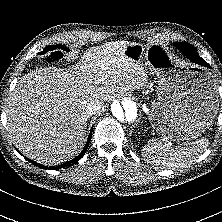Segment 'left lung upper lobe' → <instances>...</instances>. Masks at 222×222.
Listing matches in <instances>:
<instances>
[{"label":"left lung upper lobe","mask_w":222,"mask_h":222,"mask_svg":"<svg viewBox=\"0 0 222 222\" xmlns=\"http://www.w3.org/2000/svg\"><path fill=\"white\" fill-rule=\"evenodd\" d=\"M174 45L176 48L182 51V53L187 56V55H193L196 58L200 59L201 61H204L197 53V50L194 46H192L189 43L186 42H175Z\"/></svg>","instance_id":"left-lung-upper-lobe-1"}]
</instances>
